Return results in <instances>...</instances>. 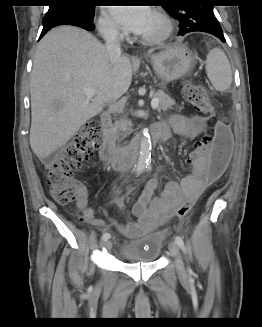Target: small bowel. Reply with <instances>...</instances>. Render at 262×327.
<instances>
[{
	"label": "small bowel",
	"mask_w": 262,
	"mask_h": 327,
	"mask_svg": "<svg viewBox=\"0 0 262 327\" xmlns=\"http://www.w3.org/2000/svg\"><path fill=\"white\" fill-rule=\"evenodd\" d=\"M159 140L167 142L172 134L181 136L186 140H194L200 137L207 128V118L200 115L191 117L183 115L173 116L169 123H159ZM195 162L192 173L183 177L180 181L168 182L161 194L153 198V193L160 187L158 179H151L147 182L139 199L133 206V214L138 218L136 222L126 224L112 220V224L124 235L137 237L144 233L153 231L163 225L177 212L184 200H195L206 188L207 170L209 165L203 153H189L188 159L184 160L185 166H192ZM77 206L81 211V219L94 226L101 227L103 222L94 219V212L89 207L87 196L82 193L77 200Z\"/></svg>",
	"instance_id": "small-bowel-1"
}]
</instances>
